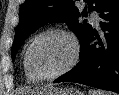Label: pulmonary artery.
I'll return each instance as SVG.
<instances>
[{"instance_id": "e3ab8cb5", "label": "pulmonary artery", "mask_w": 119, "mask_h": 95, "mask_svg": "<svg viewBox=\"0 0 119 95\" xmlns=\"http://www.w3.org/2000/svg\"><path fill=\"white\" fill-rule=\"evenodd\" d=\"M91 21L94 24L98 25V23H99V16H98V14L96 12H92L91 13Z\"/></svg>"}]
</instances>
